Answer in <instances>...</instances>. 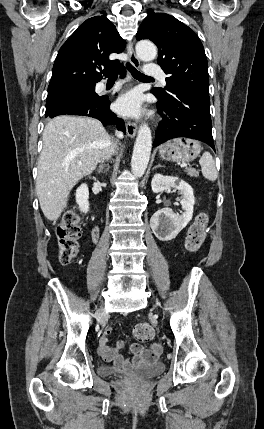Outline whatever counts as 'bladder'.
Instances as JSON below:
<instances>
[{"label":"bladder","mask_w":264,"mask_h":429,"mask_svg":"<svg viewBox=\"0 0 264 429\" xmlns=\"http://www.w3.org/2000/svg\"><path fill=\"white\" fill-rule=\"evenodd\" d=\"M165 369V366L160 361H155L151 364L137 367L135 370L130 372V376L137 380H147L160 375ZM102 376H114L118 375V372L109 366H102L99 370Z\"/></svg>","instance_id":"obj_1"}]
</instances>
